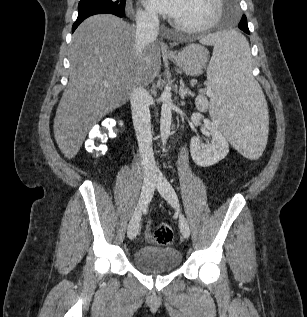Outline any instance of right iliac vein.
Masks as SVG:
<instances>
[{"label":"right iliac vein","mask_w":307,"mask_h":317,"mask_svg":"<svg viewBox=\"0 0 307 317\" xmlns=\"http://www.w3.org/2000/svg\"><path fill=\"white\" fill-rule=\"evenodd\" d=\"M155 186V177L146 176L143 180L142 192L140 195L139 203L134 211V214L129 222L127 235L130 239H134L138 234L140 228V220L142 211L146 204L151 200Z\"/></svg>","instance_id":"obj_1"}]
</instances>
